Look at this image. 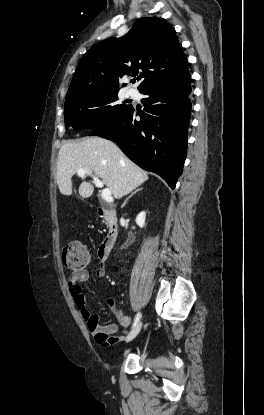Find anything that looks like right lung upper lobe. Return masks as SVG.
<instances>
[{"mask_svg":"<svg viewBox=\"0 0 264 415\" xmlns=\"http://www.w3.org/2000/svg\"><path fill=\"white\" fill-rule=\"evenodd\" d=\"M186 72L187 58L175 29L163 18H140L125 36L106 39L84 54L66 99L118 92V78L126 75H138L142 80L138 89L142 91Z\"/></svg>","mask_w":264,"mask_h":415,"instance_id":"obj_1","label":"right lung upper lobe"}]
</instances>
